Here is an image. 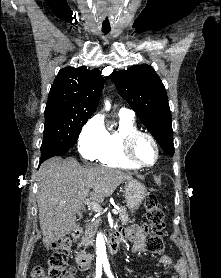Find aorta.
<instances>
[{"label":"aorta","mask_w":221,"mask_h":278,"mask_svg":"<svg viewBox=\"0 0 221 278\" xmlns=\"http://www.w3.org/2000/svg\"><path fill=\"white\" fill-rule=\"evenodd\" d=\"M111 108V104L108 100L105 101V110L109 111ZM96 261L98 263H103L107 261V253H106V245L105 239L102 233L97 234L96 238Z\"/></svg>","instance_id":"obj_1"}]
</instances>
